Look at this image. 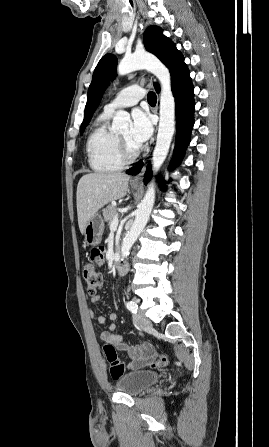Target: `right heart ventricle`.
<instances>
[{"label":"right heart ventricle","instance_id":"obj_1","mask_svg":"<svg viewBox=\"0 0 269 447\" xmlns=\"http://www.w3.org/2000/svg\"><path fill=\"white\" fill-rule=\"evenodd\" d=\"M111 115L104 110L98 116L87 144L89 165L97 172L115 171L124 166L119 157L116 133L109 125Z\"/></svg>","mask_w":269,"mask_h":447}]
</instances>
